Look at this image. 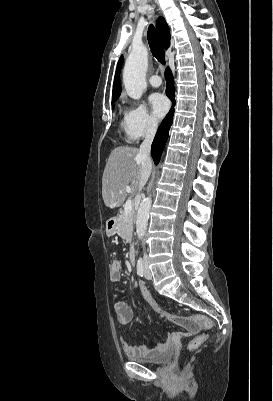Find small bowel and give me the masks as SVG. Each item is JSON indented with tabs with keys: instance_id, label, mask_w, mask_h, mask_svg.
<instances>
[{
	"instance_id": "obj_1",
	"label": "small bowel",
	"mask_w": 273,
	"mask_h": 401,
	"mask_svg": "<svg viewBox=\"0 0 273 401\" xmlns=\"http://www.w3.org/2000/svg\"><path fill=\"white\" fill-rule=\"evenodd\" d=\"M121 262L119 260H112L109 265V280L113 283L118 282L121 279ZM136 284V283H135ZM143 284V283H141ZM114 311L116 313V319L120 324H128L133 319V312L131 308L122 301L115 302L113 305ZM171 320V319H170ZM175 321V320H171ZM176 321H185L184 316H180V319ZM190 333L188 331H175L170 336L169 339L156 346L152 349H146L143 347L132 346L128 344L126 341H122L123 350L133 357L137 356H146V357H154L157 356L161 351L169 347L171 344V339L174 338H188Z\"/></svg>"
}]
</instances>
